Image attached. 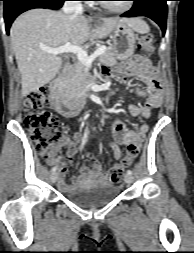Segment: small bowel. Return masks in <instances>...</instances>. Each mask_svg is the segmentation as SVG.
<instances>
[{"label":"small bowel","instance_id":"obj_1","mask_svg":"<svg viewBox=\"0 0 194 253\" xmlns=\"http://www.w3.org/2000/svg\"><path fill=\"white\" fill-rule=\"evenodd\" d=\"M114 72L119 76L137 77L143 83V86H136L135 93L145 98V105L143 107L130 105L129 112L132 116H141L147 119L151 116L154 109L161 106L163 100L162 86L160 81L153 75L158 74V69L155 66H151L147 58L133 56L115 67ZM109 74V69L105 67L103 75L108 76ZM148 131L149 125L147 123H142L138 130H130L120 120H115L112 125V134L115 142L109 143L115 159L121 158V151L118 145H125L128 148L131 144H137L140 147ZM80 140V135H76L73 138H62L60 146L66 147V159L49 160V163L55 164L58 169V186L63 192H70L90 180L100 183L113 182L110 172H103L101 164L96 160L92 169L85 165L81 166L79 177H72L70 183L65 181V174L69 169L68 160L76 154L77 144Z\"/></svg>","mask_w":194,"mask_h":253}]
</instances>
